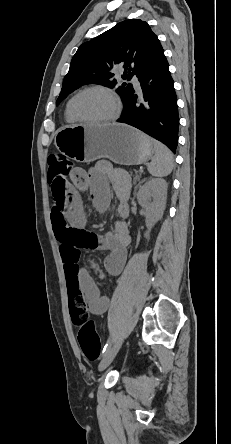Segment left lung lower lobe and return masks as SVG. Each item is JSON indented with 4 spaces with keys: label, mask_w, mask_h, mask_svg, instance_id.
Segmentation results:
<instances>
[{
    "label": "left lung lower lobe",
    "mask_w": 231,
    "mask_h": 444,
    "mask_svg": "<svg viewBox=\"0 0 231 444\" xmlns=\"http://www.w3.org/2000/svg\"><path fill=\"white\" fill-rule=\"evenodd\" d=\"M136 76L141 93L131 90L118 122L144 131L165 143L175 153L179 116L174 82L163 48L158 50Z\"/></svg>",
    "instance_id": "1"
}]
</instances>
